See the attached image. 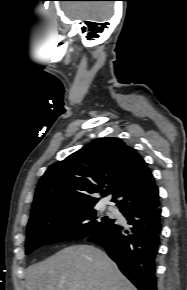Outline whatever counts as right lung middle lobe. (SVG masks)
<instances>
[{"instance_id": "1", "label": "right lung middle lobe", "mask_w": 187, "mask_h": 290, "mask_svg": "<svg viewBox=\"0 0 187 290\" xmlns=\"http://www.w3.org/2000/svg\"><path fill=\"white\" fill-rule=\"evenodd\" d=\"M87 207L48 214L27 226L26 254L35 249L66 239H82L114 223L107 216H98Z\"/></svg>"}]
</instances>
